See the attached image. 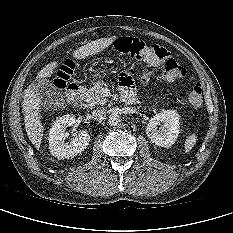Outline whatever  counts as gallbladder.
I'll return each mask as SVG.
<instances>
[{"label": "gallbladder", "mask_w": 233, "mask_h": 233, "mask_svg": "<svg viewBox=\"0 0 233 233\" xmlns=\"http://www.w3.org/2000/svg\"><path fill=\"white\" fill-rule=\"evenodd\" d=\"M35 92L40 96L45 107L58 108L63 104L62 94L47 79H41L33 83Z\"/></svg>", "instance_id": "bac80fb5"}]
</instances>
